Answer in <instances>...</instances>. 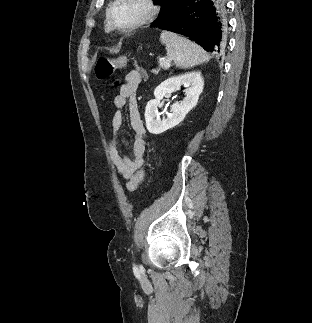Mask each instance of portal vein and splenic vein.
Returning <instances> with one entry per match:
<instances>
[{
  "label": "portal vein and splenic vein",
  "instance_id": "obj_1",
  "mask_svg": "<svg viewBox=\"0 0 312 323\" xmlns=\"http://www.w3.org/2000/svg\"><path fill=\"white\" fill-rule=\"evenodd\" d=\"M162 66L163 68H170L171 64L170 62H163Z\"/></svg>",
  "mask_w": 312,
  "mask_h": 323
}]
</instances>
